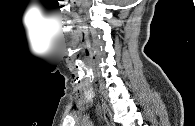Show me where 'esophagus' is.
Masks as SVG:
<instances>
[{
  "mask_svg": "<svg viewBox=\"0 0 195 126\" xmlns=\"http://www.w3.org/2000/svg\"><path fill=\"white\" fill-rule=\"evenodd\" d=\"M103 112H104V119H105L107 126H114L112 113L106 105H103Z\"/></svg>",
  "mask_w": 195,
  "mask_h": 126,
  "instance_id": "1",
  "label": "esophagus"
}]
</instances>
